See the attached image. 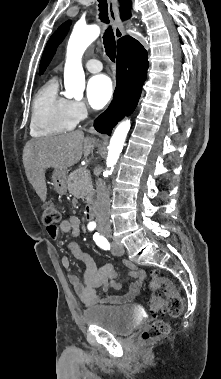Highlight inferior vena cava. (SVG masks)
I'll list each match as a JSON object with an SVG mask.
<instances>
[{
	"label": "inferior vena cava",
	"mask_w": 221,
	"mask_h": 379,
	"mask_svg": "<svg viewBox=\"0 0 221 379\" xmlns=\"http://www.w3.org/2000/svg\"><path fill=\"white\" fill-rule=\"evenodd\" d=\"M96 193L98 200V210L96 222L100 230H110V198L109 191L102 179L96 181Z\"/></svg>",
	"instance_id": "602c4592"
}]
</instances>
